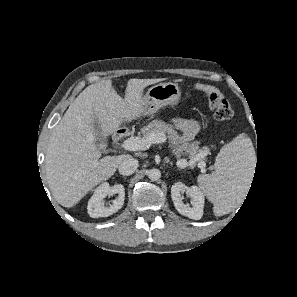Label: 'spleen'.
I'll list each match as a JSON object with an SVG mask.
<instances>
[{
  "label": "spleen",
  "mask_w": 297,
  "mask_h": 297,
  "mask_svg": "<svg viewBox=\"0 0 297 297\" xmlns=\"http://www.w3.org/2000/svg\"><path fill=\"white\" fill-rule=\"evenodd\" d=\"M255 159L251 140L240 134L222 147L216 157L215 171L198 177L201 189L214 204L216 216L229 213L244 196L253 175Z\"/></svg>",
  "instance_id": "obj_1"
}]
</instances>
